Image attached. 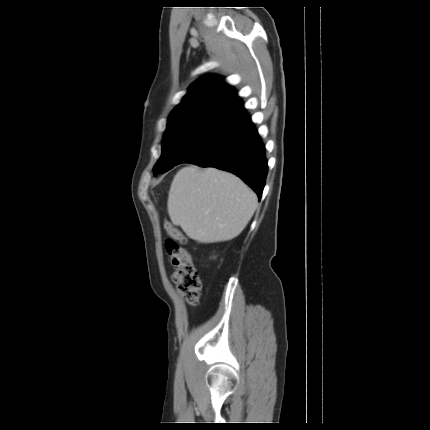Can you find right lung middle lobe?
<instances>
[{
    "label": "right lung middle lobe",
    "mask_w": 430,
    "mask_h": 430,
    "mask_svg": "<svg viewBox=\"0 0 430 430\" xmlns=\"http://www.w3.org/2000/svg\"><path fill=\"white\" fill-rule=\"evenodd\" d=\"M241 118L231 107L220 103L172 112L164 133L162 155L153 168L154 176L185 162L229 131Z\"/></svg>",
    "instance_id": "right-lung-middle-lobe-1"
}]
</instances>
